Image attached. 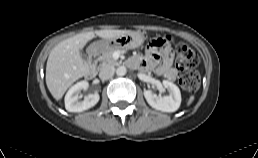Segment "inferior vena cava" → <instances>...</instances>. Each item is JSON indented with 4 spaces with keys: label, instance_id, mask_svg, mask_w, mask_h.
<instances>
[{
    "label": "inferior vena cava",
    "instance_id": "1",
    "mask_svg": "<svg viewBox=\"0 0 258 158\" xmlns=\"http://www.w3.org/2000/svg\"><path fill=\"white\" fill-rule=\"evenodd\" d=\"M115 73V68L113 66H104L99 72V77L102 80H108L113 77Z\"/></svg>",
    "mask_w": 258,
    "mask_h": 158
}]
</instances>
